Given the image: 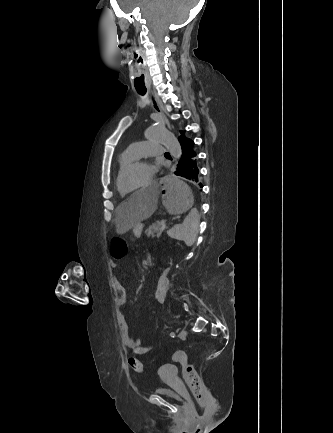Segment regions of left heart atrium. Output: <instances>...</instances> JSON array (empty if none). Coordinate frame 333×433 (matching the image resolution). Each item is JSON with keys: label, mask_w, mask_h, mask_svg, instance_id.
Returning a JSON list of instances; mask_svg holds the SVG:
<instances>
[{"label": "left heart atrium", "mask_w": 333, "mask_h": 433, "mask_svg": "<svg viewBox=\"0 0 333 433\" xmlns=\"http://www.w3.org/2000/svg\"><path fill=\"white\" fill-rule=\"evenodd\" d=\"M156 171V166L155 165H151L150 166V174L149 177H152V175L155 173Z\"/></svg>", "instance_id": "1"}]
</instances>
